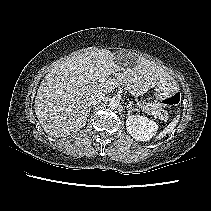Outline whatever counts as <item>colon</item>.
I'll return each mask as SVG.
<instances>
[{
	"label": "colon",
	"instance_id": "1",
	"mask_svg": "<svg viewBox=\"0 0 211 211\" xmlns=\"http://www.w3.org/2000/svg\"><path fill=\"white\" fill-rule=\"evenodd\" d=\"M180 101V94L179 93H175L171 96L165 97L162 101L164 106H173L178 104Z\"/></svg>",
	"mask_w": 211,
	"mask_h": 211
}]
</instances>
